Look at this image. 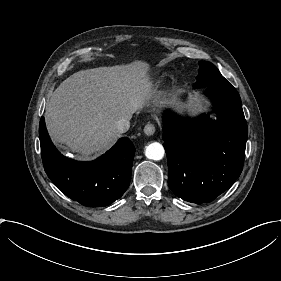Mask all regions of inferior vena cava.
I'll use <instances>...</instances> for the list:
<instances>
[{
	"instance_id": "1",
	"label": "inferior vena cava",
	"mask_w": 281,
	"mask_h": 281,
	"mask_svg": "<svg viewBox=\"0 0 281 281\" xmlns=\"http://www.w3.org/2000/svg\"><path fill=\"white\" fill-rule=\"evenodd\" d=\"M116 128L120 133H125L130 128L129 118H122L116 122Z\"/></svg>"
}]
</instances>
